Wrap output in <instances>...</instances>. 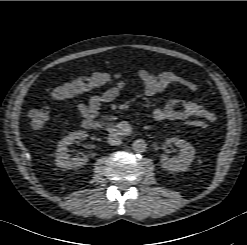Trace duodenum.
<instances>
[{
	"mask_svg": "<svg viewBox=\"0 0 247 245\" xmlns=\"http://www.w3.org/2000/svg\"><path fill=\"white\" fill-rule=\"evenodd\" d=\"M83 127L87 130H107L112 136L124 138L129 136L132 133V129L129 124L122 122L118 124H107L101 121L96 120H87L83 121Z\"/></svg>",
	"mask_w": 247,
	"mask_h": 245,
	"instance_id": "duodenum-1",
	"label": "duodenum"
}]
</instances>
